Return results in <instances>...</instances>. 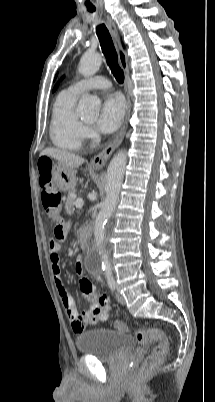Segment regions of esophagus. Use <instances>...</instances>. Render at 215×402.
I'll return each instance as SVG.
<instances>
[{"label":"esophagus","mask_w":215,"mask_h":402,"mask_svg":"<svg viewBox=\"0 0 215 402\" xmlns=\"http://www.w3.org/2000/svg\"><path fill=\"white\" fill-rule=\"evenodd\" d=\"M107 24L108 27L111 31V34L114 39V43L118 52V57L120 61V65L122 69L124 70L125 73V91H126V96H127V112L126 116L122 125V128L118 135L115 137V139L105 148L103 149L100 153H98L94 158L91 160V165L96 168H102L106 164V162L109 160L111 157L112 153L115 151V149L121 144L123 141V138L125 136L127 127H128V119L130 116V97H129V91H128V63H127V56L125 54V51L122 48V45L119 40V34L116 28L115 23L113 20L107 16Z\"/></svg>","instance_id":"1"}]
</instances>
